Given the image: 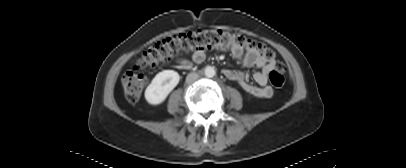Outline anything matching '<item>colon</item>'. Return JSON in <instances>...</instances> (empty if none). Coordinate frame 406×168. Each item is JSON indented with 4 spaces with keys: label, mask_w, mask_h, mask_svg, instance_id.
Returning <instances> with one entry per match:
<instances>
[{
    "label": "colon",
    "mask_w": 406,
    "mask_h": 168,
    "mask_svg": "<svg viewBox=\"0 0 406 168\" xmlns=\"http://www.w3.org/2000/svg\"><path fill=\"white\" fill-rule=\"evenodd\" d=\"M239 50L243 48L254 49L267 61L274 59L273 51L265 44L257 42L241 34L226 32L220 29H198L156 42L144 52L133 70L126 72L122 77V85L126 98L136 102L146 83L143 69L155 67L169 62L173 57L193 50L206 49ZM283 65L276 62L275 68L269 72V81L275 88H281L285 79L282 74Z\"/></svg>",
    "instance_id": "colon-1"
}]
</instances>
